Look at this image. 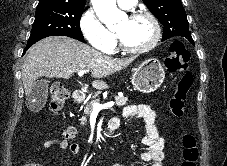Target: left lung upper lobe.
<instances>
[{
    "instance_id": "obj_1",
    "label": "left lung upper lobe",
    "mask_w": 227,
    "mask_h": 166,
    "mask_svg": "<svg viewBox=\"0 0 227 166\" xmlns=\"http://www.w3.org/2000/svg\"><path fill=\"white\" fill-rule=\"evenodd\" d=\"M143 2L165 27L162 41L181 36L194 43L181 0H143Z\"/></svg>"
}]
</instances>
